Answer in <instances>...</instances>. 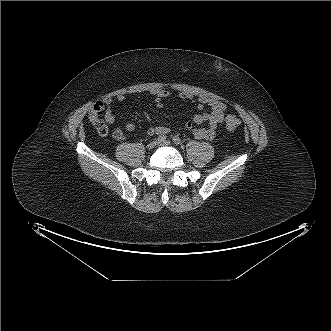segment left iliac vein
<instances>
[{"label": "left iliac vein", "instance_id": "left-iliac-vein-1", "mask_svg": "<svg viewBox=\"0 0 331 331\" xmlns=\"http://www.w3.org/2000/svg\"><path fill=\"white\" fill-rule=\"evenodd\" d=\"M159 145L170 146L171 145V142L169 140H166L164 142H161Z\"/></svg>", "mask_w": 331, "mask_h": 331}]
</instances>
